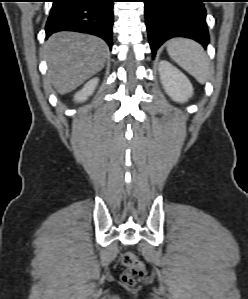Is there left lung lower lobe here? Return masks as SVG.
Masks as SVG:
<instances>
[{"label": "left lung lower lobe", "mask_w": 248, "mask_h": 299, "mask_svg": "<svg viewBox=\"0 0 248 299\" xmlns=\"http://www.w3.org/2000/svg\"><path fill=\"white\" fill-rule=\"evenodd\" d=\"M152 53L168 39L186 37L204 48L209 43L205 0H144Z\"/></svg>", "instance_id": "left-lung-lower-lobe-1"}]
</instances>
